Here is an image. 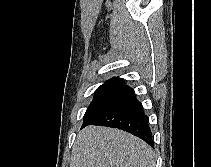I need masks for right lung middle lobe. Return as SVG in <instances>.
<instances>
[{
  "label": "right lung middle lobe",
  "instance_id": "1",
  "mask_svg": "<svg viewBox=\"0 0 211 167\" xmlns=\"http://www.w3.org/2000/svg\"><path fill=\"white\" fill-rule=\"evenodd\" d=\"M123 81H106L95 92L93 101L84 115V123L90 122L100 115L109 105L126 93L130 87Z\"/></svg>",
  "mask_w": 211,
  "mask_h": 167
}]
</instances>
